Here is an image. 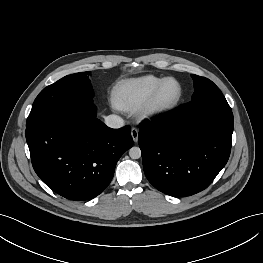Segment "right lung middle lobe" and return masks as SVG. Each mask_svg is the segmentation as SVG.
<instances>
[{
    "instance_id": "1",
    "label": "right lung middle lobe",
    "mask_w": 263,
    "mask_h": 263,
    "mask_svg": "<svg viewBox=\"0 0 263 263\" xmlns=\"http://www.w3.org/2000/svg\"><path fill=\"white\" fill-rule=\"evenodd\" d=\"M90 72L67 75L44 88L36 97L28 116L26 127L41 121L49 113L61 108L77 112L86 98H92L93 90L88 79Z\"/></svg>"
}]
</instances>
